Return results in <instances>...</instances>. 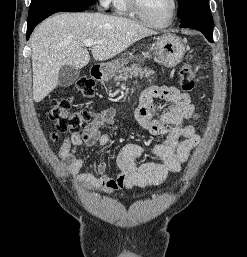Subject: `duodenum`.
<instances>
[{
  "mask_svg": "<svg viewBox=\"0 0 247 257\" xmlns=\"http://www.w3.org/2000/svg\"><path fill=\"white\" fill-rule=\"evenodd\" d=\"M91 76L96 81H101L104 79V71L99 65H95L91 68Z\"/></svg>",
  "mask_w": 247,
  "mask_h": 257,
  "instance_id": "duodenum-1",
  "label": "duodenum"
}]
</instances>
